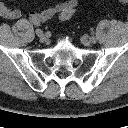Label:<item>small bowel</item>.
Listing matches in <instances>:
<instances>
[{"label":"small bowel","instance_id":"obj_1","mask_svg":"<svg viewBox=\"0 0 128 128\" xmlns=\"http://www.w3.org/2000/svg\"><path fill=\"white\" fill-rule=\"evenodd\" d=\"M78 0H66L62 3L51 5L41 11H32L29 19L32 23L38 25L51 19L65 7H76ZM0 16L6 19H18L21 17V11L15 8H9L3 0H0Z\"/></svg>","mask_w":128,"mask_h":128}]
</instances>
